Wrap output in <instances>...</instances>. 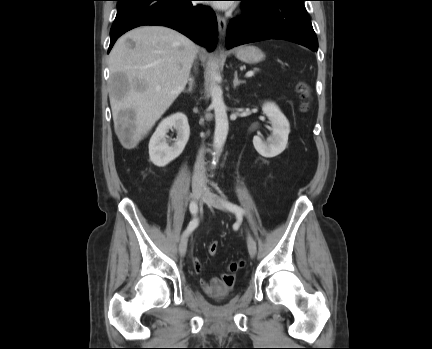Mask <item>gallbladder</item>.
I'll use <instances>...</instances> for the list:
<instances>
[{"instance_id":"1","label":"gallbladder","mask_w":432,"mask_h":349,"mask_svg":"<svg viewBox=\"0 0 432 349\" xmlns=\"http://www.w3.org/2000/svg\"><path fill=\"white\" fill-rule=\"evenodd\" d=\"M118 77H119V78L122 77V74H118Z\"/></svg>"}]
</instances>
